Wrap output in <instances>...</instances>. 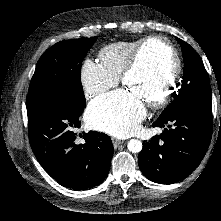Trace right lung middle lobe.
Returning <instances> with one entry per match:
<instances>
[{
    "mask_svg": "<svg viewBox=\"0 0 221 221\" xmlns=\"http://www.w3.org/2000/svg\"><path fill=\"white\" fill-rule=\"evenodd\" d=\"M96 40L97 37L61 41L44 52L29 86L27 110L56 96H67L76 105L85 107L80 71Z\"/></svg>",
    "mask_w": 221,
    "mask_h": 221,
    "instance_id": "obj_1",
    "label": "right lung middle lobe"
}]
</instances>
